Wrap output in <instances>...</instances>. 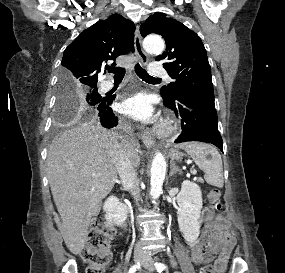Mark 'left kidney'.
Segmentation results:
<instances>
[{
    "instance_id": "left-kidney-1",
    "label": "left kidney",
    "mask_w": 285,
    "mask_h": 273,
    "mask_svg": "<svg viewBox=\"0 0 285 273\" xmlns=\"http://www.w3.org/2000/svg\"><path fill=\"white\" fill-rule=\"evenodd\" d=\"M178 224L183 237L189 243L196 242L200 234L201 209L203 205L200 187L190 181H184L177 195Z\"/></svg>"
}]
</instances>
